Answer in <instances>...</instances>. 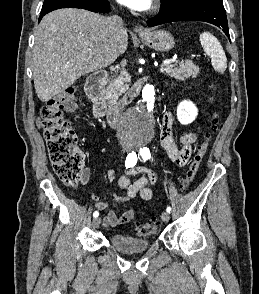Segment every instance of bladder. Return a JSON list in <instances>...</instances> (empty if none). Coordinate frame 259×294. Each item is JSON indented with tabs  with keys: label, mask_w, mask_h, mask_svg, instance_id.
Masks as SVG:
<instances>
[{
	"label": "bladder",
	"mask_w": 259,
	"mask_h": 294,
	"mask_svg": "<svg viewBox=\"0 0 259 294\" xmlns=\"http://www.w3.org/2000/svg\"><path fill=\"white\" fill-rule=\"evenodd\" d=\"M110 244L117 250L124 253H135L146 251L150 242L145 239H138L122 233H114L110 237Z\"/></svg>",
	"instance_id": "1"
}]
</instances>
